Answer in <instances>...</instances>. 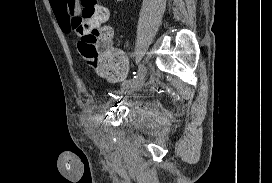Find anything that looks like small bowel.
Listing matches in <instances>:
<instances>
[{
  "mask_svg": "<svg viewBox=\"0 0 272 183\" xmlns=\"http://www.w3.org/2000/svg\"><path fill=\"white\" fill-rule=\"evenodd\" d=\"M52 7L53 13L61 27V29L68 33L70 30L67 26L68 17V0H49ZM77 5L75 6V10ZM104 29L109 33L105 42L107 46L118 56L117 62L110 68L99 70L98 73L105 79L111 82H117L124 79L129 71V63L126 55L119 49L113 47V30L110 27H104ZM90 116L88 111H85L81 115V119H85Z\"/></svg>",
  "mask_w": 272,
  "mask_h": 183,
  "instance_id": "1",
  "label": "small bowel"
}]
</instances>
